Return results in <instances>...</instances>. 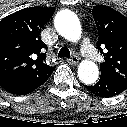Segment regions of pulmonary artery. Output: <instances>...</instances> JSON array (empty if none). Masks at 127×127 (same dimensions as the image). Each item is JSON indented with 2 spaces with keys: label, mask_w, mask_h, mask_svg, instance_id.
Instances as JSON below:
<instances>
[{
  "label": "pulmonary artery",
  "mask_w": 127,
  "mask_h": 127,
  "mask_svg": "<svg viewBox=\"0 0 127 127\" xmlns=\"http://www.w3.org/2000/svg\"><path fill=\"white\" fill-rule=\"evenodd\" d=\"M80 49L84 57L90 61H98L99 55L87 37H83L80 41Z\"/></svg>",
  "instance_id": "e3ab8cb5"
}]
</instances>
